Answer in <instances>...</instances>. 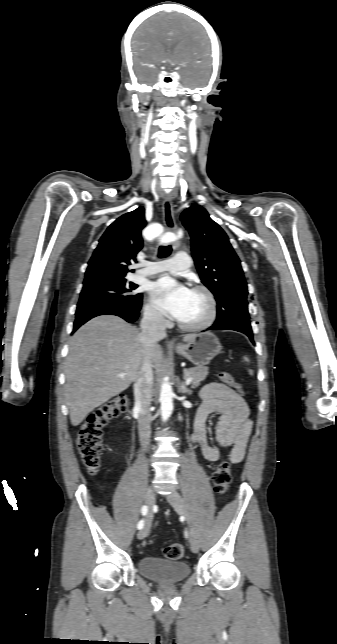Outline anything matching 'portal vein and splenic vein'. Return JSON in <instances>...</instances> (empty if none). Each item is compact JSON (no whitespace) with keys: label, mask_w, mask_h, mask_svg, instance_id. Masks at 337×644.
<instances>
[{"label":"portal vein and splenic vein","mask_w":337,"mask_h":644,"mask_svg":"<svg viewBox=\"0 0 337 644\" xmlns=\"http://www.w3.org/2000/svg\"><path fill=\"white\" fill-rule=\"evenodd\" d=\"M125 376H126V374H124V373H121V374L118 375V377H121V378H123ZM191 382H192V378H187L186 381H185V383L187 385H189Z\"/></svg>","instance_id":"18ae733b"}]
</instances>
